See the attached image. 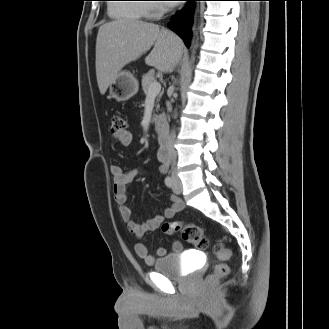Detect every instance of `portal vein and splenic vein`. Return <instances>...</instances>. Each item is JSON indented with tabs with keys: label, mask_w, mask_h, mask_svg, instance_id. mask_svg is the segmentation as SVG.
Instances as JSON below:
<instances>
[{
	"label": "portal vein and splenic vein",
	"mask_w": 329,
	"mask_h": 329,
	"mask_svg": "<svg viewBox=\"0 0 329 329\" xmlns=\"http://www.w3.org/2000/svg\"><path fill=\"white\" fill-rule=\"evenodd\" d=\"M161 90V84L157 81L151 83L148 91V96H156Z\"/></svg>",
	"instance_id": "portal-vein-and-splenic-vein-1"
}]
</instances>
